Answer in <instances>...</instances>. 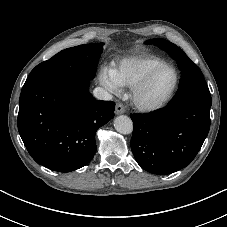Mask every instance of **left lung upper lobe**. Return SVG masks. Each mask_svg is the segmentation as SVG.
<instances>
[{
    "label": "left lung upper lobe",
    "instance_id": "5c2ea615",
    "mask_svg": "<svg viewBox=\"0 0 227 227\" xmlns=\"http://www.w3.org/2000/svg\"><path fill=\"white\" fill-rule=\"evenodd\" d=\"M148 44L159 46L177 61L181 70L179 89L168 105L195 103L211 106L212 100L205 79L198 66L182 49L164 39H151Z\"/></svg>",
    "mask_w": 227,
    "mask_h": 227
}]
</instances>
